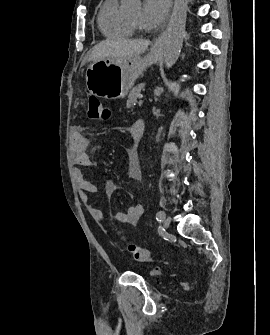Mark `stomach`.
<instances>
[{
  "instance_id": "1",
  "label": "stomach",
  "mask_w": 270,
  "mask_h": 335,
  "mask_svg": "<svg viewBox=\"0 0 270 335\" xmlns=\"http://www.w3.org/2000/svg\"><path fill=\"white\" fill-rule=\"evenodd\" d=\"M162 54L161 48H150L149 54L141 56H121L114 60H97L86 70L88 92L97 98L117 100L125 98L133 88L135 80L146 72V68L157 64Z\"/></svg>"
}]
</instances>
